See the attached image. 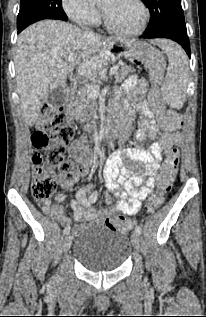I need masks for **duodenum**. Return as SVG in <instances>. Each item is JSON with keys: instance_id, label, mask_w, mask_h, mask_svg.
I'll return each mask as SVG.
<instances>
[{"instance_id": "1", "label": "duodenum", "mask_w": 206, "mask_h": 317, "mask_svg": "<svg viewBox=\"0 0 206 317\" xmlns=\"http://www.w3.org/2000/svg\"><path fill=\"white\" fill-rule=\"evenodd\" d=\"M64 106L67 112V115L70 118H73L74 115H77L78 110L75 106L74 100H65ZM91 134L94 140H100L101 138L106 137H115V136H121L123 135V130L119 123H114L111 125H108L104 131H100L99 127H92Z\"/></svg>"}]
</instances>
